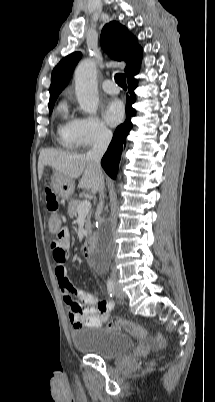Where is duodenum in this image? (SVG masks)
I'll list each match as a JSON object with an SVG mask.
<instances>
[{"label":"duodenum","instance_id":"410a0bca","mask_svg":"<svg viewBox=\"0 0 215 402\" xmlns=\"http://www.w3.org/2000/svg\"><path fill=\"white\" fill-rule=\"evenodd\" d=\"M96 247V242L93 238H90L85 241L82 247L83 254L85 256H90L94 253ZM102 269V267H100Z\"/></svg>","mask_w":215,"mask_h":402}]
</instances>
